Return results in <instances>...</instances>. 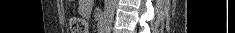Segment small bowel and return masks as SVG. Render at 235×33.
<instances>
[{"instance_id":"c3829d8e","label":"small bowel","mask_w":235,"mask_h":33,"mask_svg":"<svg viewBox=\"0 0 235 33\" xmlns=\"http://www.w3.org/2000/svg\"><path fill=\"white\" fill-rule=\"evenodd\" d=\"M87 4L86 3H84L82 6H81V10L84 12V11H86L88 8H87Z\"/></svg>"}]
</instances>
